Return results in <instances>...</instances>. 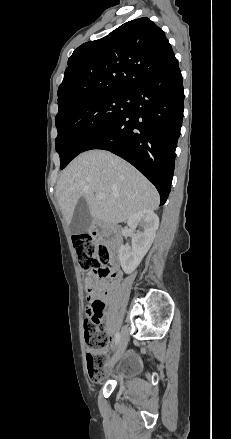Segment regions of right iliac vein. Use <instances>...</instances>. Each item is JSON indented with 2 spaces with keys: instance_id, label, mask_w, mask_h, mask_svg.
I'll list each match as a JSON object with an SVG mask.
<instances>
[{
  "instance_id": "right-iliac-vein-1",
  "label": "right iliac vein",
  "mask_w": 231,
  "mask_h": 439,
  "mask_svg": "<svg viewBox=\"0 0 231 439\" xmlns=\"http://www.w3.org/2000/svg\"><path fill=\"white\" fill-rule=\"evenodd\" d=\"M128 340H129L128 331L124 327L122 330L121 338L119 340L116 352L114 353L111 360L107 363L108 368L113 367L119 361V359L122 357V355L124 354V352L126 350Z\"/></svg>"
}]
</instances>
